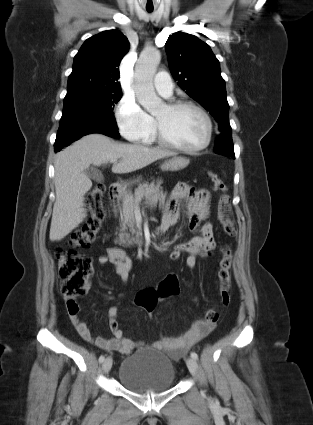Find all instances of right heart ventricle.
Wrapping results in <instances>:
<instances>
[{
    "instance_id": "1",
    "label": "right heart ventricle",
    "mask_w": 313,
    "mask_h": 425,
    "mask_svg": "<svg viewBox=\"0 0 313 425\" xmlns=\"http://www.w3.org/2000/svg\"><path fill=\"white\" fill-rule=\"evenodd\" d=\"M153 139L151 137H149L147 140L144 141V143L146 144H150L152 143Z\"/></svg>"
}]
</instances>
